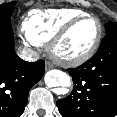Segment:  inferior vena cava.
Instances as JSON below:
<instances>
[{
  "label": "inferior vena cava",
  "mask_w": 117,
  "mask_h": 117,
  "mask_svg": "<svg viewBox=\"0 0 117 117\" xmlns=\"http://www.w3.org/2000/svg\"><path fill=\"white\" fill-rule=\"evenodd\" d=\"M17 54L20 58L29 62H34L39 59L38 52L26 47H20Z\"/></svg>",
  "instance_id": "1"
}]
</instances>
